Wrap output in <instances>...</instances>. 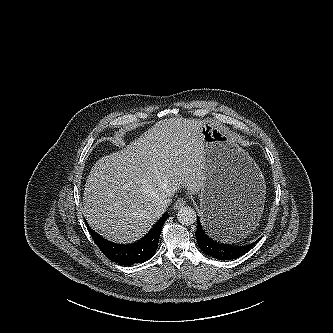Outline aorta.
Here are the masks:
<instances>
[{
    "instance_id": "obj_1",
    "label": "aorta",
    "mask_w": 333,
    "mask_h": 333,
    "mask_svg": "<svg viewBox=\"0 0 333 333\" xmlns=\"http://www.w3.org/2000/svg\"><path fill=\"white\" fill-rule=\"evenodd\" d=\"M177 219L182 225H191L196 221V212L191 207H182L178 211Z\"/></svg>"
}]
</instances>
